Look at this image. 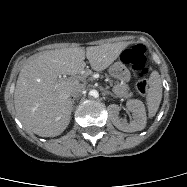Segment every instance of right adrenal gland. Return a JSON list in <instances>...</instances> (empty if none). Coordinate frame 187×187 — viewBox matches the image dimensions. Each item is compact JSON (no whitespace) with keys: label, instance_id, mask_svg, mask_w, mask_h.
<instances>
[{"label":"right adrenal gland","instance_id":"right-adrenal-gland-1","mask_svg":"<svg viewBox=\"0 0 187 187\" xmlns=\"http://www.w3.org/2000/svg\"><path fill=\"white\" fill-rule=\"evenodd\" d=\"M75 99H72V109H74Z\"/></svg>","mask_w":187,"mask_h":187}]
</instances>
